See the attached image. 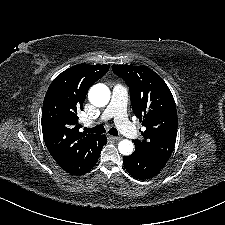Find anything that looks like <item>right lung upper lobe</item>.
<instances>
[{
	"label": "right lung upper lobe",
	"mask_w": 225,
	"mask_h": 225,
	"mask_svg": "<svg viewBox=\"0 0 225 225\" xmlns=\"http://www.w3.org/2000/svg\"><path fill=\"white\" fill-rule=\"evenodd\" d=\"M110 65L77 64L49 86L42 108L44 142L57 164L72 175H83L96 164L105 145L103 135L80 132L77 113L88 89Z\"/></svg>",
	"instance_id": "cb5924a9"
}]
</instances>
